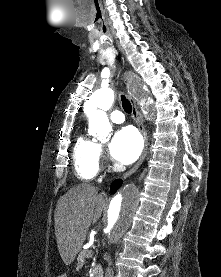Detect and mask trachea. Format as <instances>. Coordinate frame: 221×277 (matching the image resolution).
Returning a JSON list of instances; mask_svg holds the SVG:
<instances>
[{"instance_id": "1", "label": "trachea", "mask_w": 221, "mask_h": 277, "mask_svg": "<svg viewBox=\"0 0 221 277\" xmlns=\"http://www.w3.org/2000/svg\"><path fill=\"white\" fill-rule=\"evenodd\" d=\"M121 101H122V106H123L124 111L126 113L130 114L132 111V105L129 102V100L124 95H121Z\"/></svg>"}]
</instances>
